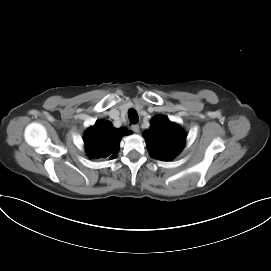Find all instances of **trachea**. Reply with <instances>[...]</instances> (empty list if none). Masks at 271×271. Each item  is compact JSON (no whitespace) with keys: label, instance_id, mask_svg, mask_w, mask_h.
<instances>
[{"label":"trachea","instance_id":"1","mask_svg":"<svg viewBox=\"0 0 271 271\" xmlns=\"http://www.w3.org/2000/svg\"><path fill=\"white\" fill-rule=\"evenodd\" d=\"M128 117L132 124H136L139 121L138 114L134 109L128 111Z\"/></svg>","mask_w":271,"mask_h":271}]
</instances>
